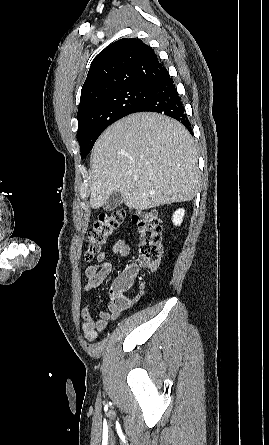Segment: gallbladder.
<instances>
[{
    "mask_svg": "<svg viewBox=\"0 0 269 445\" xmlns=\"http://www.w3.org/2000/svg\"><path fill=\"white\" fill-rule=\"evenodd\" d=\"M123 203V196L120 191H115L111 194L103 208L106 211H112Z\"/></svg>",
    "mask_w": 269,
    "mask_h": 445,
    "instance_id": "bac80fb5",
    "label": "gallbladder"
}]
</instances>
